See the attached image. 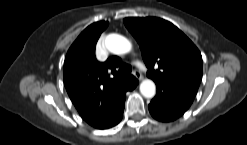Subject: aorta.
<instances>
[{
    "mask_svg": "<svg viewBox=\"0 0 247 145\" xmlns=\"http://www.w3.org/2000/svg\"><path fill=\"white\" fill-rule=\"evenodd\" d=\"M105 45L114 54H125L132 48L130 41L118 34H109L105 38ZM140 92L146 98L154 97L156 93L155 83L150 79L143 80L140 84Z\"/></svg>",
    "mask_w": 247,
    "mask_h": 145,
    "instance_id": "obj_1",
    "label": "aorta"
}]
</instances>
